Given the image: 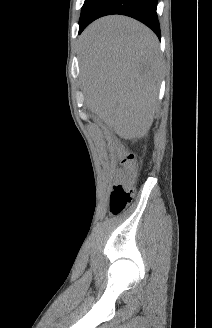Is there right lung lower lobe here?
I'll return each mask as SVG.
<instances>
[{"label":"right lung lower lobe","mask_w":212,"mask_h":328,"mask_svg":"<svg viewBox=\"0 0 212 328\" xmlns=\"http://www.w3.org/2000/svg\"><path fill=\"white\" fill-rule=\"evenodd\" d=\"M158 0H96L79 25V34L94 20L106 15L120 14L147 25L160 39V25L156 13Z\"/></svg>","instance_id":"1"}]
</instances>
